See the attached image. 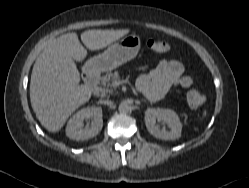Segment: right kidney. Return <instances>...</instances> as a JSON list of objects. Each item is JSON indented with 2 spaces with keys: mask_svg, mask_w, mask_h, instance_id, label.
Segmentation results:
<instances>
[{
  "mask_svg": "<svg viewBox=\"0 0 249 188\" xmlns=\"http://www.w3.org/2000/svg\"><path fill=\"white\" fill-rule=\"evenodd\" d=\"M90 118H93L91 127L83 128V121ZM102 127V109L100 107H87L79 110L69 119L66 135L72 140H87L96 136Z\"/></svg>",
  "mask_w": 249,
  "mask_h": 188,
  "instance_id": "1",
  "label": "right kidney"
}]
</instances>
